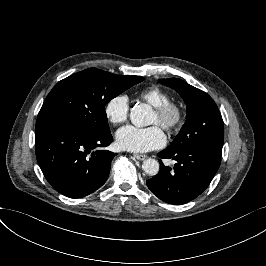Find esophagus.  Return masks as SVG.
<instances>
[{"instance_id": "1", "label": "esophagus", "mask_w": 266, "mask_h": 266, "mask_svg": "<svg viewBox=\"0 0 266 266\" xmlns=\"http://www.w3.org/2000/svg\"><path fill=\"white\" fill-rule=\"evenodd\" d=\"M137 160H145L147 158L146 155H141V154H134L133 155Z\"/></svg>"}]
</instances>
